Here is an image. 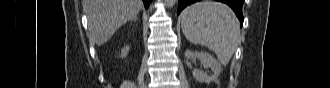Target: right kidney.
I'll return each instance as SVG.
<instances>
[{"label":"right kidney","mask_w":330,"mask_h":88,"mask_svg":"<svg viewBox=\"0 0 330 88\" xmlns=\"http://www.w3.org/2000/svg\"><path fill=\"white\" fill-rule=\"evenodd\" d=\"M129 52V46H125L123 49H122V52H121V57H126L127 54Z\"/></svg>","instance_id":"obj_1"}]
</instances>
